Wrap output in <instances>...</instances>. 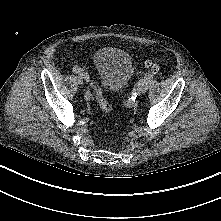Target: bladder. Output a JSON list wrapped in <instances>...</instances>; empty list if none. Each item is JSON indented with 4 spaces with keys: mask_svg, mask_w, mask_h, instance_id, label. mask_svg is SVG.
Masks as SVG:
<instances>
[{
    "mask_svg": "<svg viewBox=\"0 0 221 221\" xmlns=\"http://www.w3.org/2000/svg\"><path fill=\"white\" fill-rule=\"evenodd\" d=\"M94 65L103 89L111 93L122 90L133 74L129 54L116 47L99 49L94 56Z\"/></svg>",
    "mask_w": 221,
    "mask_h": 221,
    "instance_id": "obj_1",
    "label": "bladder"
}]
</instances>
